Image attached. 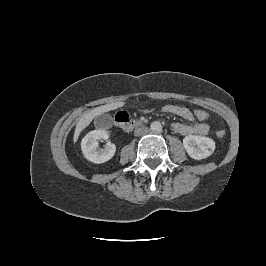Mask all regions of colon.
I'll return each mask as SVG.
<instances>
[{
    "instance_id": "1",
    "label": "colon",
    "mask_w": 266,
    "mask_h": 266,
    "mask_svg": "<svg viewBox=\"0 0 266 266\" xmlns=\"http://www.w3.org/2000/svg\"><path fill=\"white\" fill-rule=\"evenodd\" d=\"M194 117L199 120V121H205L209 119V114L205 110L202 109H196L193 111ZM225 131L224 130H218L216 131V136L218 138H223L225 136Z\"/></svg>"
}]
</instances>
